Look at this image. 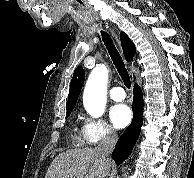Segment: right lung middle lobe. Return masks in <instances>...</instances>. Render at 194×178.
Wrapping results in <instances>:
<instances>
[{
    "instance_id": "dd1d6c3e",
    "label": "right lung middle lobe",
    "mask_w": 194,
    "mask_h": 178,
    "mask_svg": "<svg viewBox=\"0 0 194 178\" xmlns=\"http://www.w3.org/2000/svg\"><path fill=\"white\" fill-rule=\"evenodd\" d=\"M70 113H71V111L67 112L66 117H68L70 115Z\"/></svg>"
}]
</instances>
